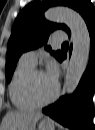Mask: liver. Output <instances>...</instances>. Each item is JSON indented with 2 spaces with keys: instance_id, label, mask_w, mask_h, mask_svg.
<instances>
[{
  "instance_id": "liver-1",
  "label": "liver",
  "mask_w": 95,
  "mask_h": 130,
  "mask_svg": "<svg viewBox=\"0 0 95 130\" xmlns=\"http://www.w3.org/2000/svg\"><path fill=\"white\" fill-rule=\"evenodd\" d=\"M41 112L12 111L2 121V130H35Z\"/></svg>"
}]
</instances>
